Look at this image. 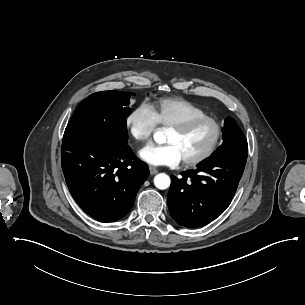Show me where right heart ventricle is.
<instances>
[{
  "mask_svg": "<svg viewBox=\"0 0 305 305\" xmlns=\"http://www.w3.org/2000/svg\"><path fill=\"white\" fill-rule=\"evenodd\" d=\"M149 106L157 123L168 127L188 118L206 115L200 107L178 97H160L152 100Z\"/></svg>",
  "mask_w": 305,
  "mask_h": 305,
  "instance_id": "right-heart-ventricle-1",
  "label": "right heart ventricle"
}]
</instances>
